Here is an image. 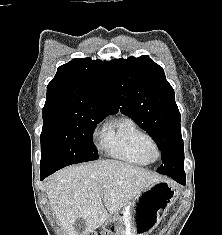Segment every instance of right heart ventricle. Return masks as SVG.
I'll list each match as a JSON object with an SVG mask.
<instances>
[{"label":"right heart ventricle","instance_id":"right-heart-ventricle-1","mask_svg":"<svg viewBox=\"0 0 222 235\" xmlns=\"http://www.w3.org/2000/svg\"><path fill=\"white\" fill-rule=\"evenodd\" d=\"M154 143L152 136L135 120L121 116L107 124L101 140V149L115 160L134 166H146L149 163L144 157V150Z\"/></svg>","mask_w":222,"mask_h":235}]
</instances>
